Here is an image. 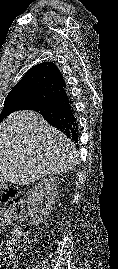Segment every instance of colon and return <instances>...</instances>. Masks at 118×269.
Instances as JSON below:
<instances>
[{"mask_svg":"<svg viewBox=\"0 0 118 269\" xmlns=\"http://www.w3.org/2000/svg\"><path fill=\"white\" fill-rule=\"evenodd\" d=\"M0 202L8 209L15 226L12 236L0 244V269H15L20 246L26 243V207L22 193L15 187L0 184Z\"/></svg>","mask_w":118,"mask_h":269,"instance_id":"5ec220e1","label":"colon"}]
</instances>
